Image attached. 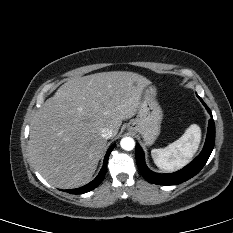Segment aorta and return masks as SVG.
Returning a JSON list of instances; mask_svg holds the SVG:
<instances>
[{"instance_id": "aorta-1", "label": "aorta", "mask_w": 233, "mask_h": 233, "mask_svg": "<svg viewBox=\"0 0 233 233\" xmlns=\"http://www.w3.org/2000/svg\"><path fill=\"white\" fill-rule=\"evenodd\" d=\"M120 145H121L122 149H124L126 151H130V150L134 149L135 141L131 137H124V138L121 139Z\"/></svg>"}]
</instances>
